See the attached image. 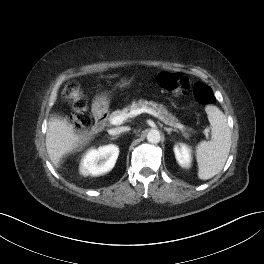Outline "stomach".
<instances>
[{
    "mask_svg": "<svg viewBox=\"0 0 264 264\" xmlns=\"http://www.w3.org/2000/svg\"><path fill=\"white\" fill-rule=\"evenodd\" d=\"M131 80L129 79H122L120 82V87H126L130 84ZM96 101L99 102L101 105H107L109 102L108 94L105 92L100 93L96 97Z\"/></svg>",
    "mask_w": 264,
    "mask_h": 264,
    "instance_id": "0dacf381",
    "label": "stomach"
}]
</instances>
